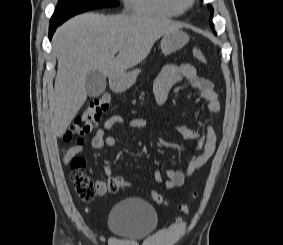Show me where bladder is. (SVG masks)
<instances>
[{
	"instance_id": "obj_1",
	"label": "bladder",
	"mask_w": 283,
	"mask_h": 245,
	"mask_svg": "<svg viewBox=\"0 0 283 245\" xmlns=\"http://www.w3.org/2000/svg\"><path fill=\"white\" fill-rule=\"evenodd\" d=\"M108 222L115 236L140 240L157 229L159 218L156 210L148 202L128 198L112 207Z\"/></svg>"
}]
</instances>
